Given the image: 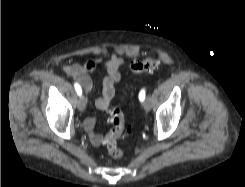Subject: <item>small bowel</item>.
Returning a JSON list of instances; mask_svg holds the SVG:
<instances>
[{"label":"small bowel","instance_id":"obj_1","mask_svg":"<svg viewBox=\"0 0 245 187\" xmlns=\"http://www.w3.org/2000/svg\"><path fill=\"white\" fill-rule=\"evenodd\" d=\"M125 64L123 57L113 54L109 59L91 58L83 63H71L63 66V71L79 82L85 92H89L92 88L90 74L99 66L104 68V77L102 80V93L97 98L95 104L100 110H106L115 96V84L120 82L122 74L120 68ZM95 117L90 116L84 122L85 129L89 134L91 143L94 146L104 144V138L95 130Z\"/></svg>","mask_w":245,"mask_h":187}]
</instances>
